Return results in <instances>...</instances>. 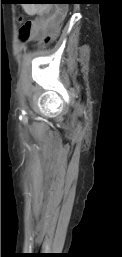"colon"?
Instances as JSON below:
<instances>
[{
	"mask_svg": "<svg viewBox=\"0 0 122 257\" xmlns=\"http://www.w3.org/2000/svg\"><path fill=\"white\" fill-rule=\"evenodd\" d=\"M59 10L58 11V21H55L54 26H52V30H48V34H46V37L41 41L40 46L41 47H46L48 46L53 39H57V35H62V30L64 28L65 24V17L67 16L68 13H70V8H68V5H59ZM27 32H28V25L25 23L22 28H21V38L23 40L28 39L27 38Z\"/></svg>",
	"mask_w": 122,
	"mask_h": 257,
	"instance_id": "1",
	"label": "colon"
}]
</instances>
